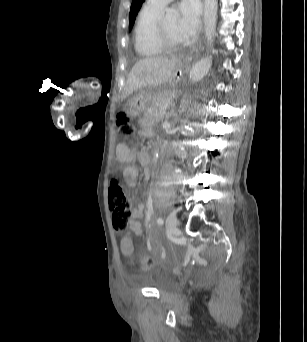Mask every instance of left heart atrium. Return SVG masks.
Instances as JSON below:
<instances>
[{
    "label": "left heart atrium",
    "instance_id": "obj_1",
    "mask_svg": "<svg viewBox=\"0 0 307 342\" xmlns=\"http://www.w3.org/2000/svg\"><path fill=\"white\" fill-rule=\"evenodd\" d=\"M200 7L195 2L181 6L180 19L176 23L175 36L182 44L193 41L200 31Z\"/></svg>",
    "mask_w": 307,
    "mask_h": 342
}]
</instances>
